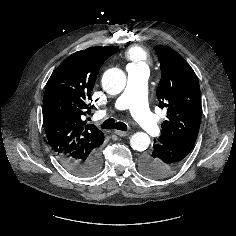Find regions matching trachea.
Wrapping results in <instances>:
<instances>
[{"instance_id": "trachea-1", "label": "trachea", "mask_w": 236, "mask_h": 236, "mask_svg": "<svg viewBox=\"0 0 236 236\" xmlns=\"http://www.w3.org/2000/svg\"><path fill=\"white\" fill-rule=\"evenodd\" d=\"M102 129H117L120 131H127V125L123 122H116L113 118L105 120L101 124Z\"/></svg>"}]
</instances>
